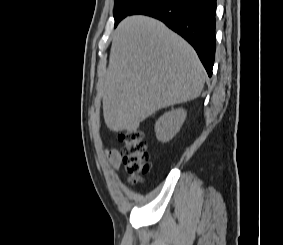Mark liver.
<instances>
[{
    "label": "liver",
    "instance_id": "6515ba94",
    "mask_svg": "<svg viewBox=\"0 0 283 245\" xmlns=\"http://www.w3.org/2000/svg\"><path fill=\"white\" fill-rule=\"evenodd\" d=\"M206 73L194 49L162 22L130 16L114 32L100 95L107 127L135 132L156 111L197 98Z\"/></svg>",
    "mask_w": 283,
    "mask_h": 245
}]
</instances>
